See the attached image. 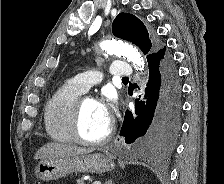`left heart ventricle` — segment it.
I'll use <instances>...</instances> for the list:
<instances>
[{"label": "left heart ventricle", "mask_w": 224, "mask_h": 184, "mask_svg": "<svg viewBox=\"0 0 224 184\" xmlns=\"http://www.w3.org/2000/svg\"><path fill=\"white\" fill-rule=\"evenodd\" d=\"M110 122L103 115L98 102L90 99L85 101L80 129L84 138L90 140L102 138L107 133Z\"/></svg>", "instance_id": "obj_1"}]
</instances>
